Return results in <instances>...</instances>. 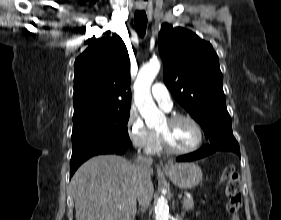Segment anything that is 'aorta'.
<instances>
[{
	"mask_svg": "<svg viewBox=\"0 0 281 220\" xmlns=\"http://www.w3.org/2000/svg\"><path fill=\"white\" fill-rule=\"evenodd\" d=\"M159 70V60H150L140 69L134 84V101L148 127L157 125L163 118V113L157 108L151 95V85ZM155 219H169V206L163 198L157 200Z\"/></svg>",
	"mask_w": 281,
	"mask_h": 220,
	"instance_id": "1",
	"label": "aorta"
}]
</instances>
